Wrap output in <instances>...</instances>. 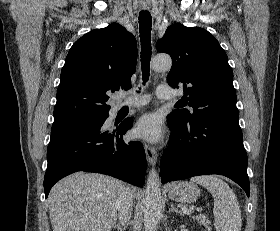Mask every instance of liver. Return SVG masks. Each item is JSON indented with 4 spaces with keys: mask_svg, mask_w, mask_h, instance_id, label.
<instances>
[{
    "mask_svg": "<svg viewBox=\"0 0 280 231\" xmlns=\"http://www.w3.org/2000/svg\"><path fill=\"white\" fill-rule=\"evenodd\" d=\"M123 187L119 179L101 173L77 171L60 179L49 195L53 231H111ZM132 193L139 197L141 191L133 187Z\"/></svg>",
    "mask_w": 280,
    "mask_h": 231,
    "instance_id": "1",
    "label": "liver"
}]
</instances>
